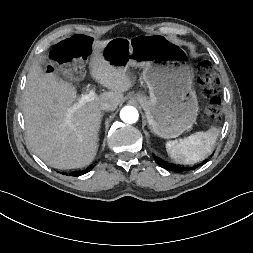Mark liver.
<instances>
[{"instance_id":"liver-1","label":"liver","mask_w":253,"mask_h":253,"mask_svg":"<svg viewBox=\"0 0 253 253\" xmlns=\"http://www.w3.org/2000/svg\"><path fill=\"white\" fill-rule=\"evenodd\" d=\"M108 42L93 41L89 69L91 77L110 91L90 102L79 104L76 87L44 73L38 62L27 75L23 98L27 140L33 152L53 168H84L94 161L102 119L100 104L109 102L116 109L123 93L134 84L126 69L103 56Z\"/></svg>"}]
</instances>
